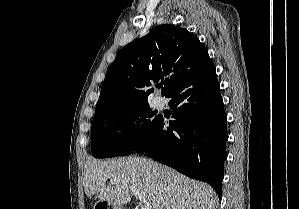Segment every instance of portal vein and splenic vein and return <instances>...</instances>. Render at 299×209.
Masks as SVG:
<instances>
[{
	"label": "portal vein and splenic vein",
	"mask_w": 299,
	"mask_h": 209,
	"mask_svg": "<svg viewBox=\"0 0 299 209\" xmlns=\"http://www.w3.org/2000/svg\"><path fill=\"white\" fill-rule=\"evenodd\" d=\"M112 183H117L116 180H111ZM132 193L134 194V196L136 198H138L142 203L143 206L141 209H152V206L149 204V202H147L145 196H143L140 192L136 191V190H132Z\"/></svg>",
	"instance_id": "obj_1"
}]
</instances>
